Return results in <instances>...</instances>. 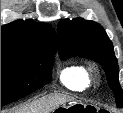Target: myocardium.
Returning a JSON list of instances; mask_svg holds the SVG:
<instances>
[{
    "mask_svg": "<svg viewBox=\"0 0 123 113\" xmlns=\"http://www.w3.org/2000/svg\"><path fill=\"white\" fill-rule=\"evenodd\" d=\"M89 79H90V80H93V79H94V76H93V75H90V76H89Z\"/></svg>",
    "mask_w": 123,
    "mask_h": 113,
    "instance_id": "obj_1",
    "label": "myocardium"
}]
</instances>
